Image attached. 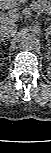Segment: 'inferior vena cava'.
Listing matches in <instances>:
<instances>
[{"label":"inferior vena cava","mask_w":51,"mask_h":153,"mask_svg":"<svg viewBox=\"0 0 51 153\" xmlns=\"http://www.w3.org/2000/svg\"><path fill=\"white\" fill-rule=\"evenodd\" d=\"M17 32V25L14 22H4L0 25V36L1 37H12Z\"/></svg>","instance_id":"inferior-vena-cava-1"}]
</instances>
